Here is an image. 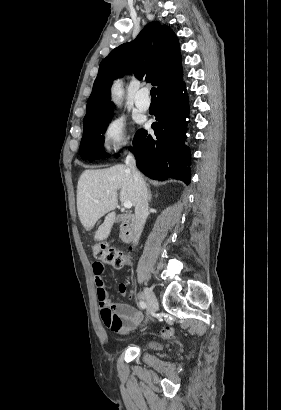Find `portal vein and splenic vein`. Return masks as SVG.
<instances>
[{"mask_svg": "<svg viewBox=\"0 0 281 410\" xmlns=\"http://www.w3.org/2000/svg\"><path fill=\"white\" fill-rule=\"evenodd\" d=\"M123 206L125 209H130L132 207V203L130 201H124Z\"/></svg>", "mask_w": 281, "mask_h": 410, "instance_id": "portal-vein-and-splenic-vein-1", "label": "portal vein and splenic vein"}]
</instances>
